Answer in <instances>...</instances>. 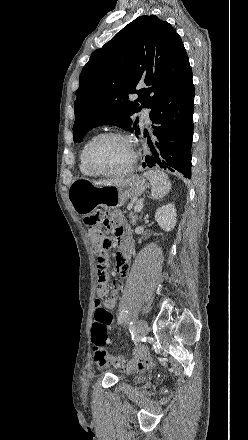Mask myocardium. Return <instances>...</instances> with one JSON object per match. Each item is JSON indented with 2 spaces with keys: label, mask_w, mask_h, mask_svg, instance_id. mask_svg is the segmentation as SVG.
Listing matches in <instances>:
<instances>
[{
  "label": "myocardium",
  "mask_w": 248,
  "mask_h": 440,
  "mask_svg": "<svg viewBox=\"0 0 248 440\" xmlns=\"http://www.w3.org/2000/svg\"><path fill=\"white\" fill-rule=\"evenodd\" d=\"M110 137L121 138L129 144V147L131 150L130 161L125 168H123L122 170L116 171V172L98 171L93 167V165L91 163L92 150L100 141H102L103 139H106V138H110ZM137 159H138V153L135 149V146H134L132 139L127 134L120 132V131H106V132L98 134L89 143V145L86 149V152H85V164H86L88 170L93 175L99 176V177H121V176H124V175L130 173L134 169L135 164L137 162Z\"/></svg>",
  "instance_id": "1"
}]
</instances>
